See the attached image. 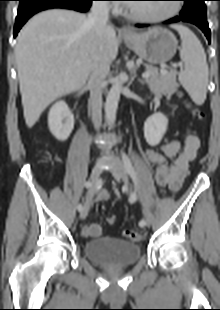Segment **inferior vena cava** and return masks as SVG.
Instances as JSON below:
<instances>
[{
  "label": "inferior vena cava",
  "mask_w": 220,
  "mask_h": 310,
  "mask_svg": "<svg viewBox=\"0 0 220 310\" xmlns=\"http://www.w3.org/2000/svg\"><path fill=\"white\" fill-rule=\"evenodd\" d=\"M109 21V5L105 1H94L87 23L95 34V47L88 85L92 122L98 130L101 125L102 89L110 70V60L104 49V34Z\"/></svg>",
  "instance_id": "inferior-vena-cava-1"
}]
</instances>
